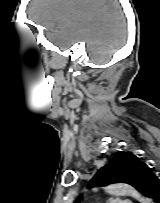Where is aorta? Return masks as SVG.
I'll list each match as a JSON object with an SVG mask.
<instances>
[{"label": "aorta", "instance_id": "762f6f07", "mask_svg": "<svg viewBox=\"0 0 160 203\" xmlns=\"http://www.w3.org/2000/svg\"><path fill=\"white\" fill-rule=\"evenodd\" d=\"M107 191L111 194L131 196L137 199L140 203H150V200L147 197L142 196L138 191H136L133 187L127 184H112L108 186Z\"/></svg>", "mask_w": 160, "mask_h": 203}]
</instances>
